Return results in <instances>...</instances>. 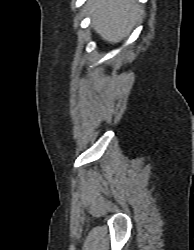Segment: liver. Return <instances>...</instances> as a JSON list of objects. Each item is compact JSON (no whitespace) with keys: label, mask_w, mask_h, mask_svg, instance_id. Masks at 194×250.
Instances as JSON below:
<instances>
[{"label":"liver","mask_w":194,"mask_h":250,"mask_svg":"<svg viewBox=\"0 0 194 250\" xmlns=\"http://www.w3.org/2000/svg\"><path fill=\"white\" fill-rule=\"evenodd\" d=\"M86 8L94 31L112 44L121 42L143 13L136 0H88Z\"/></svg>","instance_id":"6515ba94"}]
</instances>
